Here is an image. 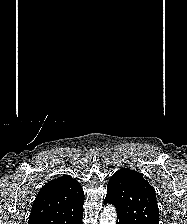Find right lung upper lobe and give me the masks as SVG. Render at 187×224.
Segmentation results:
<instances>
[{"label":"right lung upper lobe","instance_id":"1","mask_svg":"<svg viewBox=\"0 0 187 224\" xmlns=\"http://www.w3.org/2000/svg\"><path fill=\"white\" fill-rule=\"evenodd\" d=\"M84 192L79 182L64 175L39 191L28 224H70L83 215Z\"/></svg>","mask_w":187,"mask_h":224}]
</instances>
